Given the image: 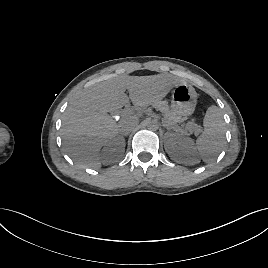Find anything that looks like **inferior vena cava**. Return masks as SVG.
<instances>
[{"label": "inferior vena cava", "mask_w": 268, "mask_h": 268, "mask_svg": "<svg viewBox=\"0 0 268 268\" xmlns=\"http://www.w3.org/2000/svg\"><path fill=\"white\" fill-rule=\"evenodd\" d=\"M137 124H138L137 117L130 116L126 119H123L119 123V132L124 135H127L135 128Z\"/></svg>", "instance_id": "1"}]
</instances>
